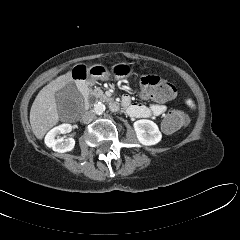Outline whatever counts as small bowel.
<instances>
[{
    "label": "small bowel",
    "instance_id": "1",
    "mask_svg": "<svg viewBox=\"0 0 240 240\" xmlns=\"http://www.w3.org/2000/svg\"><path fill=\"white\" fill-rule=\"evenodd\" d=\"M185 103L189 107H193V102L191 100L186 99ZM122 106L127 114L134 118L158 117L163 115L167 110L166 105L163 103H153L149 106H146L133 102L128 95L123 96Z\"/></svg>",
    "mask_w": 240,
    "mask_h": 240
}]
</instances>
